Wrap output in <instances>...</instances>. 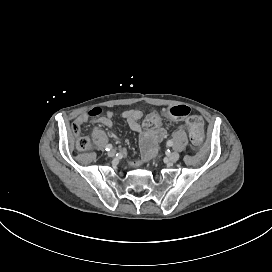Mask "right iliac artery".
<instances>
[{
	"label": "right iliac artery",
	"instance_id": "82829eb1",
	"mask_svg": "<svg viewBox=\"0 0 272 272\" xmlns=\"http://www.w3.org/2000/svg\"><path fill=\"white\" fill-rule=\"evenodd\" d=\"M112 149V145L111 144H108L105 148L106 151H110Z\"/></svg>",
	"mask_w": 272,
	"mask_h": 272
}]
</instances>
